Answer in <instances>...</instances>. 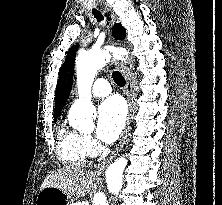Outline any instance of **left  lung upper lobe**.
I'll return each instance as SVG.
<instances>
[{"mask_svg":"<svg viewBox=\"0 0 222 205\" xmlns=\"http://www.w3.org/2000/svg\"><path fill=\"white\" fill-rule=\"evenodd\" d=\"M113 35L115 39L122 40L126 36V31L122 27L120 23H116L113 27ZM79 48V44L73 46L67 53V57L65 59L64 64L62 65L59 73V80L55 92V111H54V121L57 120L62 108L64 107L71 88H72V80L74 73V62L75 55L77 49Z\"/></svg>","mask_w":222,"mask_h":205,"instance_id":"obj_1","label":"left lung upper lobe"}]
</instances>
